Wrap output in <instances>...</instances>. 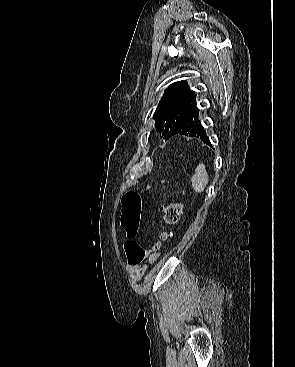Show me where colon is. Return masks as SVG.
<instances>
[{"mask_svg":"<svg viewBox=\"0 0 295 367\" xmlns=\"http://www.w3.org/2000/svg\"><path fill=\"white\" fill-rule=\"evenodd\" d=\"M183 207L184 205L182 202H170L166 205L163 209V219L167 226H173L178 222ZM140 214V195L135 191H128L122 198L121 225L128 238L124 247L128 262L132 265H139L145 259L151 263L156 262L160 255L159 250L161 244L169 236V233L164 231L151 249L144 250L134 241L139 229Z\"/></svg>","mask_w":295,"mask_h":367,"instance_id":"1","label":"colon"}]
</instances>
